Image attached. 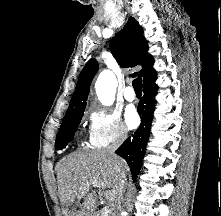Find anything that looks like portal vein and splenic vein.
<instances>
[{
  "label": "portal vein and splenic vein",
  "instance_id": "1",
  "mask_svg": "<svg viewBox=\"0 0 221 216\" xmlns=\"http://www.w3.org/2000/svg\"><path fill=\"white\" fill-rule=\"evenodd\" d=\"M99 185H101V184L99 183ZM114 194H115L114 191H107L105 193V197L108 200H113L114 199Z\"/></svg>",
  "mask_w": 221,
  "mask_h": 216
}]
</instances>
